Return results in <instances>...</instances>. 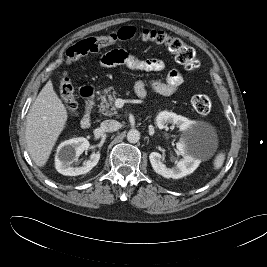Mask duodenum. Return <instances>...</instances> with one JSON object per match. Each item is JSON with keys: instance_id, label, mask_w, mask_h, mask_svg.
Instances as JSON below:
<instances>
[{"instance_id": "obj_1", "label": "duodenum", "mask_w": 267, "mask_h": 267, "mask_svg": "<svg viewBox=\"0 0 267 267\" xmlns=\"http://www.w3.org/2000/svg\"><path fill=\"white\" fill-rule=\"evenodd\" d=\"M94 94L95 91L90 86L81 89V95L84 99V115L80 122L82 128H88L91 125Z\"/></svg>"}]
</instances>
